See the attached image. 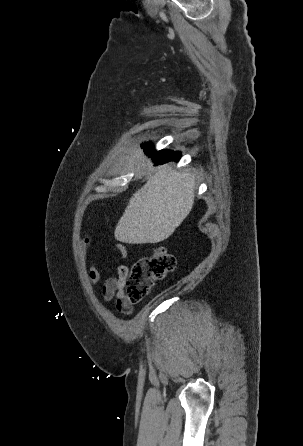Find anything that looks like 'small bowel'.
I'll list each match as a JSON object with an SVG mask.
<instances>
[{"label": "small bowel", "instance_id": "small-bowel-1", "mask_svg": "<svg viewBox=\"0 0 303 446\" xmlns=\"http://www.w3.org/2000/svg\"><path fill=\"white\" fill-rule=\"evenodd\" d=\"M96 241L94 234H86L82 237L79 244L80 258L84 267L89 264L88 269V281L90 284L95 285L100 281L101 274L99 269L89 262L90 253L93 245ZM116 247L120 252L122 258L127 257V250L124 245L117 243ZM129 273V269L125 265H118L116 269V275L107 278L102 285V298L104 301L109 302L113 298L116 299L117 309L125 314H129L132 311V305L125 300V284Z\"/></svg>", "mask_w": 303, "mask_h": 446}]
</instances>
